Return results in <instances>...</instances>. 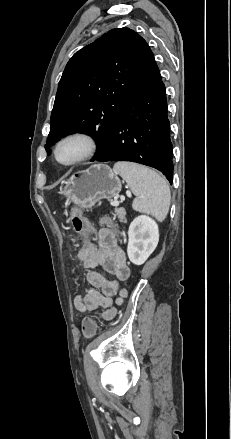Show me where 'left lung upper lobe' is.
Instances as JSON below:
<instances>
[{
	"label": "left lung upper lobe",
	"mask_w": 231,
	"mask_h": 439,
	"mask_svg": "<svg viewBox=\"0 0 231 439\" xmlns=\"http://www.w3.org/2000/svg\"><path fill=\"white\" fill-rule=\"evenodd\" d=\"M152 56L146 41L129 28L112 29L76 52L58 85L47 153L62 137L83 132L96 139V157Z\"/></svg>",
	"instance_id": "left-lung-upper-lobe-1"
}]
</instances>
